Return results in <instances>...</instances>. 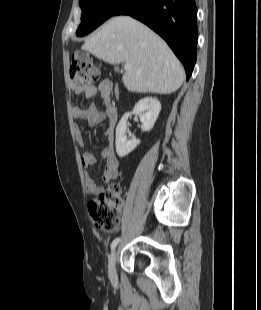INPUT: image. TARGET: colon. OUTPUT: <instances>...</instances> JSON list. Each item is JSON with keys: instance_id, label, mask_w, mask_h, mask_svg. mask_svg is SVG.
Wrapping results in <instances>:
<instances>
[{"instance_id": "5ec220e1", "label": "colon", "mask_w": 261, "mask_h": 310, "mask_svg": "<svg viewBox=\"0 0 261 310\" xmlns=\"http://www.w3.org/2000/svg\"><path fill=\"white\" fill-rule=\"evenodd\" d=\"M70 79L74 86H91L99 79V70L90 55L76 53L72 56ZM121 191L118 185H110L88 204L90 216L97 228L105 232L115 231L121 220Z\"/></svg>"}]
</instances>
